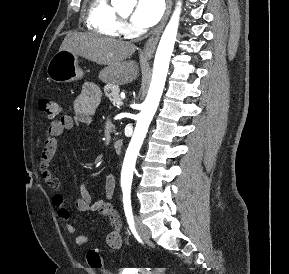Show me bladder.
Masks as SVG:
<instances>
[{"instance_id":"bladder-1","label":"bladder","mask_w":289,"mask_h":274,"mask_svg":"<svg viewBox=\"0 0 289 274\" xmlns=\"http://www.w3.org/2000/svg\"><path fill=\"white\" fill-rule=\"evenodd\" d=\"M123 274H135V273H130V272H127V273H123Z\"/></svg>"}]
</instances>
